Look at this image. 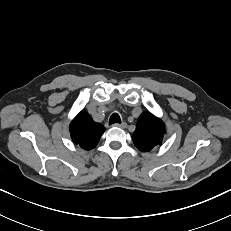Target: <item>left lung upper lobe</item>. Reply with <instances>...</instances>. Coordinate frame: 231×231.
<instances>
[{"instance_id": "obj_1", "label": "left lung upper lobe", "mask_w": 231, "mask_h": 231, "mask_svg": "<svg viewBox=\"0 0 231 231\" xmlns=\"http://www.w3.org/2000/svg\"><path fill=\"white\" fill-rule=\"evenodd\" d=\"M164 133L161 120L150 112H144L137 121L132 139L140 151L148 152L162 143Z\"/></svg>"}]
</instances>
